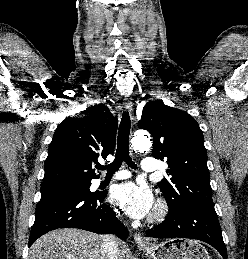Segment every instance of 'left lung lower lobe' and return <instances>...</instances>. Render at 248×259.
Masks as SVG:
<instances>
[{
  "label": "left lung lower lobe",
  "instance_id": "0a47b994",
  "mask_svg": "<svg viewBox=\"0 0 248 259\" xmlns=\"http://www.w3.org/2000/svg\"><path fill=\"white\" fill-rule=\"evenodd\" d=\"M146 235L153 238L178 237L201 240L213 246L224 259H227V251L214 206L170 210L165 221L157 227L148 229Z\"/></svg>",
  "mask_w": 248,
  "mask_h": 259
}]
</instances>
